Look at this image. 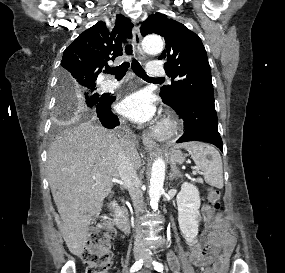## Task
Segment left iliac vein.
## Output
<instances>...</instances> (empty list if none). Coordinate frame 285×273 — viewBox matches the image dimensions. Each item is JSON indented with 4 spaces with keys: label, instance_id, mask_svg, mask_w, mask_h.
Listing matches in <instances>:
<instances>
[{
    "label": "left iliac vein",
    "instance_id": "obj_1",
    "mask_svg": "<svg viewBox=\"0 0 285 273\" xmlns=\"http://www.w3.org/2000/svg\"><path fill=\"white\" fill-rule=\"evenodd\" d=\"M145 266H146L147 268H150V267H151V259H150L149 256H146Z\"/></svg>",
    "mask_w": 285,
    "mask_h": 273
}]
</instances>
